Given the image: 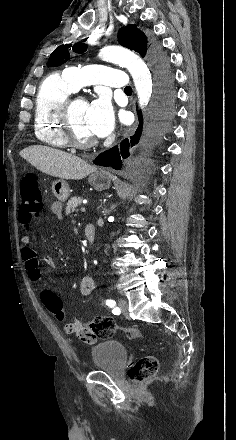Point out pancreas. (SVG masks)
<instances>
[{"label": "pancreas", "instance_id": "obj_1", "mask_svg": "<svg viewBox=\"0 0 236 440\" xmlns=\"http://www.w3.org/2000/svg\"><path fill=\"white\" fill-rule=\"evenodd\" d=\"M82 203V198L80 197H73L71 198L66 207V214H70L71 211H74L78 206H80Z\"/></svg>", "mask_w": 236, "mask_h": 440}]
</instances>
